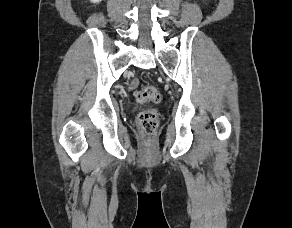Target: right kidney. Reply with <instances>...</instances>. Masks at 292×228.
<instances>
[{"mask_svg": "<svg viewBox=\"0 0 292 228\" xmlns=\"http://www.w3.org/2000/svg\"><path fill=\"white\" fill-rule=\"evenodd\" d=\"M92 3H99L101 2L102 0H90Z\"/></svg>", "mask_w": 292, "mask_h": 228, "instance_id": "1", "label": "right kidney"}]
</instances>
